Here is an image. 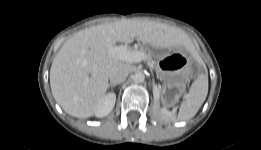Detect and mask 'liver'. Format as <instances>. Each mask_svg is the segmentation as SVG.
<instances>
[{
  "label": "liver",
  "mask_w": 261,
  "mask_h": 150,
  "mask_svg": "<svg viewBox=\"0 0 261 150\" xmlns=\"http://www.w3.org/2000/svg\"><path fill=\"white\" fill-rule=\"evenodd\" d=\"M134 39L154 48L190 45L179 28L153 21L123 19L75 33L62 45L50 69L53 97L65 112L79 118L95 114L105 97L110 69L125 62L112 57L109 49L116 42Z\"/></svg>",
  "instance_id": "liver-1"
}]
</instances>
